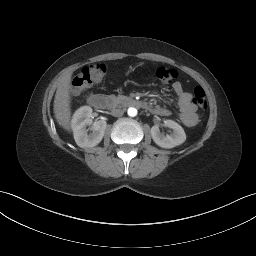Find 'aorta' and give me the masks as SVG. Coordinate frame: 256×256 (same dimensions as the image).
<instances>
[{"mask_svg": "<svg viewBox=\"0 0 256 256\" xmlns=\"http://www.w3.org/2000/svg\"><path fill=\"white\" fill-rule=\"evenodd\" d=\"M127 113L129 116L135 117L137 115V109L134 107H130V108H128Z\"/></svg>", "mask_w": 256, "mask_h": 256, "instance_id": "aorta-1", "label": "aorta"}]
</instances>
